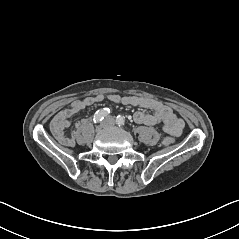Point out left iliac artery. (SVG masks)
<instances>
[{
	"label": "left iliac artery",
	"mask_w": 239,
	"mask_h": 239,
	"mask_svg": "<svg viewBox=\"0 0 239 239\" xmlns=\"http://www.w3.org/2000/svg\"><path fill=\"white\" fill-rule=\"evenodd\" d=\"M116 122L119 126H124L125 124V118L123 116H117L116 117Z\"/></svg>",
	"instance_id": "44dca946"
}]
</instances>
